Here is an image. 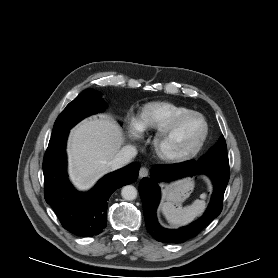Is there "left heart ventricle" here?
I'll list each match as a JSON object with an SVG mask.
<instances>
[{
	"label": "left heart ventricle",
	"mask_w": 278,
	"mask_h": 278,
	"mask_svg": "<svg viewBox=\"0 0 278 278\" xmlns=\"http://www.w3.org/2000/svg\"><path fill=\"white\" fill-rule=\"evenodd\" d=\"M203 132V123L197 117L187 119L174 134L170 146L176 151L192 148Z\"/></svg>",
	"instance_id": "1"
}]
</instances>
